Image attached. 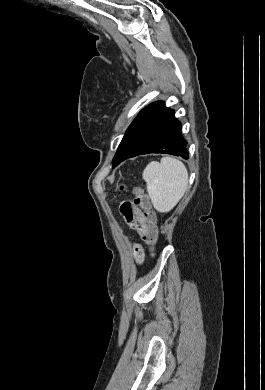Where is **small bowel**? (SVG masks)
Segmentation results:
<instances>
[{
  "label": "small bowel",
  "instance_id": "1",
  "mask_svg": "<svg viewBox=\"0 0 265 390\" xmlns=\"http://www.w3.org/2000/svg\"><path fill=\"white\" fill-rule=\"evenodd\" d=\"M120 212L128 225L135 229L147 241L151 234V226L147 224L143 212L130 201L122 202ZM135 257L139 263L144 260L143 249L139 246L136 247Z\"/></svg>",
  "mask_w": 265,
  "mask_h": 390
}]
</instances>
